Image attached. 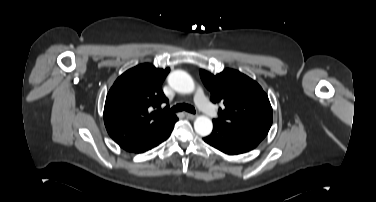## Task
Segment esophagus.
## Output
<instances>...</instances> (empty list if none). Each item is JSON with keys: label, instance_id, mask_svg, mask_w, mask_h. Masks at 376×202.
<instances>
[{"label": "esophagus", "instance_id": "obj_1", "mask_svg": "<svg viewBox=\"0 0 376 202\" xmlns=\"http://www.w3.org/2000/svg\"><path fill=\"white\" fill-rule=\"evenodd\" d=\"M185 116H186L188 119H191V120H193V119L196 118V115L191 114V113H185Z\"/></svg>", "mask_w": 376, "mask_h": 202}]
</instances>
